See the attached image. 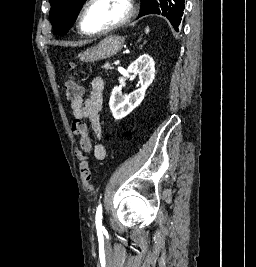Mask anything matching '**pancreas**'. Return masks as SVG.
<instances>
[{
    "mask_svg": "<svg viewBox=\"0 0 256 267\" xmlns=\"http://www.w3.org/2000/svg\"><path fill=\"white\" fill-rule=\"evenodd\" d=\"M103 68H105V70H111L110 64H105V66H103Z\"/></svg>",
    "mask_w": 256,
    "mask_h": 267,
    "instance_id": "obj_1",
    "label": "pancreas"
}]
</instances>
